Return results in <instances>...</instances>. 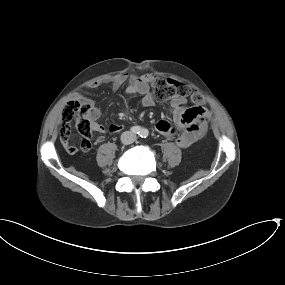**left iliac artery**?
Masks as SVG:
<instances>
[{
  "instance_id": "44dca946",
  "label": "left iliac artery",
  "mask_w": 285,
  "mask_h": 285,
  "mask_svg": "<svg viewBox=\"0 0 285 285\" xmlns=\"http://www.w3.org/2000/svg\"><path fill=\"white\" fill-rule=\"evenodd\" d=\"M140 136L142 138H146L148 136V131L146 129H142L141 133H140Z\"/></svg>"
}]
</instances>
